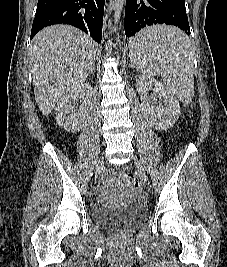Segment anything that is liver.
Here are the masks:
<instances>
[{
  "mask_svg": "<svg viewBox=\"0 0 227 267\" xmlns=\"http://www.w3.org/2000/svg\"><path fill=\"white\" fill-rule=\"evenodd\" d=\"M95 42L69 25H52L35 35L30 47L34 95L47 116L58 100L86 80L95 64Z\"/></svg>",
  "mask_w": 227,
  "mask_h": 267,
  "instance_id": "6515ba94",
  "label": "liver"
}]
</instances>
